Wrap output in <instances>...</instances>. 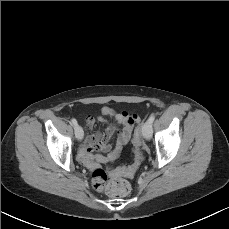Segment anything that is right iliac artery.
I'll list each match as a JSON object with an SVG mask.
<instances>
[{
    "instance_id": "obj_1",
    "label": "right iliac artery",
    "mask_w": 229,
    "mask_h": 229,
    "mask_svg": "<svg viewBox=\"0 0 229 229\" xmlns=\"http://www.w3.org/2000/svg\"><path fill=\"white\" fill-rule=\"evenodd\" d=\"M71 123H72L73 126H77L78 125L77 121L75 119H71Z\"/></svg>"
}]
</instances>
